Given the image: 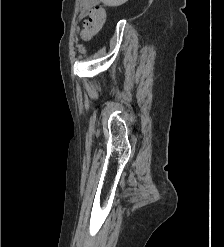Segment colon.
Here are the masks:
<instances>
[{
    "instance_id": "colon-1",
    "label": "colon",
    "mask_w": 224,
    "mask_h": 247,
    "mask_svg": "<svg viewBox=\"0 0 224 247\" xmlns=\"http://www.w3.org/2000/svg\"><path fill=\"white\" fill-rule=\"evenodd\" d=\"M106 20V13L102 8H95L91 11L89 18L85 21L83 26V34L86 38L95 35L104 25Z\"/></svg>"
}]
</instances>
